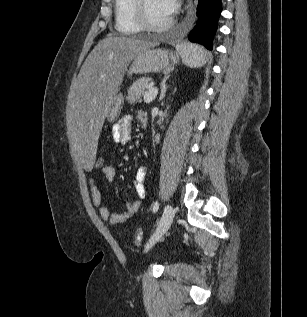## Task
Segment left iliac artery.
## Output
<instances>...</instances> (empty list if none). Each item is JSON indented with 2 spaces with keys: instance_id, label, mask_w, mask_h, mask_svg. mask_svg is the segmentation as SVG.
Listing matches in <instances>:
<instances>
[{
  "instance_id": "left-iliac-artery-1",
  "label": "left iliac artery",
  "mask_w": 307,
  "mask_h": 317,
  "mask_svg": "<svg viewBox=\"0 0 307 317\" xmlns=\"http://www.w3.org/2000/svg\"><path fill=\"white\" fill-rule=\"evenodd\" d=\"M158 209H159V202L156 201V202L154 203V205H153V212L156 213V212L158 211Z\"/></svg>"
}]
</instances>
